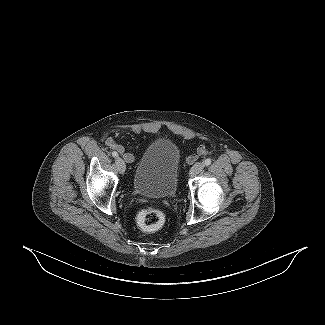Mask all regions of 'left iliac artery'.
Segmentation results:
<instances>
[{
	"label": "left iliac artery",
	"instance_id": "left-iliac-artery-1",
	"mask_svg": "<svg viewBox=\"0 0 325 325\" xmlns=\"http://www.w3.org/2000/svg\"><path fill=\"white\" fill-rule=\"evenodd\" d=\"M211 162H212V160H211L210 158H207V159L204 161V164H205L206 166H208V165L211 164Z\"/></svg>",
	"mask_w": 325,
	"mask_h": 325
}]
</instances>
